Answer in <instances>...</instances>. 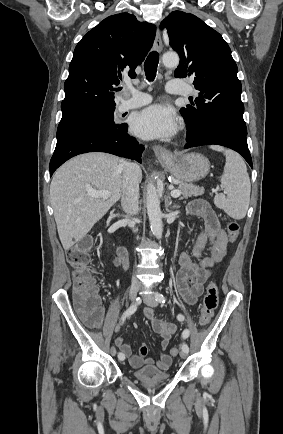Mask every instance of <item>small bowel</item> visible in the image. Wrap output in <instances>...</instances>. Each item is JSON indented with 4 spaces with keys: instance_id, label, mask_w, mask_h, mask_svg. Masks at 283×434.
I'll return each mask as SVG.
<instances>
[{
    "instance_id": "c3829d8e",
    "label": "small bowel",
    "mask_w": 283,
    "mask_h": 434,
    "mask_svg": "<svg viewBox=\"0 0 283 434\" xmlns=\"http://www.w3.org/2000/svg\"><path fill=\"white\" fill-rule=\"evenodd\" d=\"M187 211L191 215L202 218L204 226L193 247L192 255L181 252L178 256L180 269L175 276L176 287L181 298L193 305L203 294L204 284L211 276L212 268L224 261L228 253V238L221 227L215 212L204 199H195L189 203ZM117 266L126 267V251L119 247L114 259ZM144 317L150 321L153 330L160 335L162 352L156 366L160 370H168L172 363V357L165 350L169 345L171 336L176 331V325L168 320L157 319L152 308H145ZM116 346L129 360L133 368L145 365H154L155 361L147 357L148 347L142 344L138 353H133L130 344L121 337L116 338Z\"/></svg>"
}]
</instances>
